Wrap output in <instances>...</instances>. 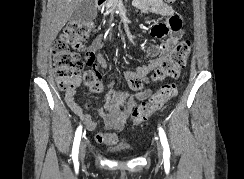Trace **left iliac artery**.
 I'll use <instances>...</instances> for the list:
<instances>
[{"mask_svg": "<svg viewBox=\"0 0 244 179\" xmlns=\"http://www.w3.org/2000/svg\"><path fill=\"white\" fill-rule=\"evenodd\" d=\"M159 136H160L161 144H162L163 149H164L163 155L164 156H170V149H169L168 141L166 138V134L161 127H159Z\"/></svg>", "mask_w": 244, "mask_h": 179, "instance_id": "44dca946", "label": "left iliac artery"}]
</instances>
